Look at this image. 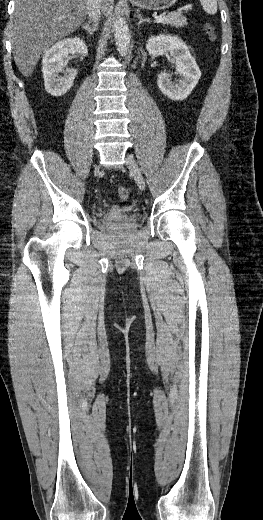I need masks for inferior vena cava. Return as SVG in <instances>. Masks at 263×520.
I'll use <instances>...</instances> for the list:
<instances>
[{
    "label": "inferior vena cava",
    "mask_w": 263,
    "mask_h": 520,
    "mask_svg": "<svg viewBox=\"0 0 263 520\" xmlns=\"http://www.w3.org/2000/svg\"><path fill=\"white\" fill-rule=\"evenodd\" d=\"M102 0H87V14L93 26H97L101 15Z\"/></svg>",
    "instance_id": "obj_1"
}]
</instances>
